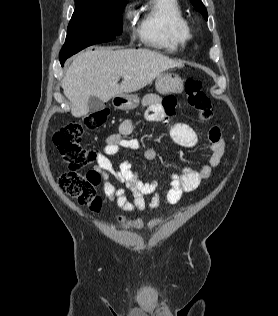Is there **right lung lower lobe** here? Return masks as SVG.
<instances>
[{"instance_id":"98d812e1","label":"right lung lower lobe","mask_w":278,"mask_h":316,"mask_svg":"<svg viewBox=\"0 0 278 316\" xmlns=\"http://www.w3.org/2000/svg\"><path fill=\"white\" fill-rule=\"evenodd\" d=\"M65 60H60L61 65L63 66Z\"/></svg>"}]
</instances>
